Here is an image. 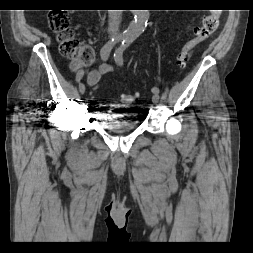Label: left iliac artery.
Masks as SVG:
<instances>
[{
    "mask_svg": "<svg viewBox=\"0 0 253 253\" xmlns=\"http://www.w3.org/2000/svg\"><path fill=\"white\" fill-rule=\"evenodd\" d=\"M132 40L131 39H125L123 40L121 46L116 50V52L114 53V58L115 61L119 64L122 65L123 64V53L124 51L129 47V45L131 44ZM152 92L159 94L160 90L158 87H153L152 88Z\"/></svg>",
    "mask_w": 253,
    "mask_h": 253,
    "instance_id": "obj_1",
    "label": "left iliac artery"
}]
</instances>
